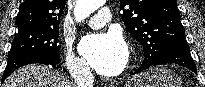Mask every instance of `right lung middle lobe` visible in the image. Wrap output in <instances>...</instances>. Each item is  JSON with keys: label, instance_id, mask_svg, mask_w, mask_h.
Returning a JSON list of instances; mask_svg holds the SVG:
<instances>
[{"label": "right lung middle lobe", "instance_id": "dd1d6c3e", "mask_svg": "<svg viewBox=\"0 0 205 87\" xmlns=\"http://www.w3.org/2000/svg\"><path fill=\"white\" fill-rule=\"evenodd\" d=\"M58 38L59 28L19 31L8 55L33 54L60 63Z\"/></svg>", "mask_w": 205, "mask_h": 87}]
</instances>
